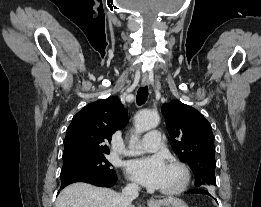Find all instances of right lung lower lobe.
<instances>
[{
    "label": "right lung lower lobe",
    "instance_id": "obj_1",
    "mask_svg": "<svg viewBox=\"0 0 261 207\" xmlns=\"http://www.w3.org/2000/svg\"><path fill=\"white\" fill-rule=\"evenodd\" d=\"M117 181L116 175L106 176V175H83L75 176L61 181L60 190L67 185L75 182H86L95 186L101 187H112Z\"/></svg>",
    "mask_w": 261,
    "mask_h": 207
}]
</instances>
